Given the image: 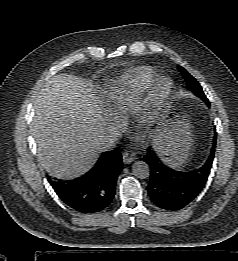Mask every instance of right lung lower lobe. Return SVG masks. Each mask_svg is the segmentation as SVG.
Instances as JSON below:
<instances>
[{
  "mask_svg": "<svg viewBox=\"0 0 238 261\" xmlns=\"http://www.w3.org/2000/svg\"><path fill=\"white\" fill-rule=\"evenodd\" d=\"M122 164L119 150L107 151L85 175L67 181L49 179V183L69 207L84 214L97 213L113 201Z\"/></svg>",
  "mask_w": 238,
  "mask_h": 261,
  "instance_id": "obj_1",
  "label": "right lung lower lobe"
}]
</instances>
